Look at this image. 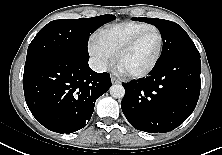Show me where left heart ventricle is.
I'll return each mask as SVG.
<instances>
[{
    "mask_svg": "<svg viewBox=\"0 0 222 155\" xmlns=\"http://www.w3.org/2000/svg\"><path fill=\"white\" fill-rule=\"evenodd\" d=\"M159 35L151 31L143 36L137 44L125 52L118 60L125 72L137 73L147 69L156 58L159 49Z\"/></svg>",
    "mask_w": 222,
    "mask_h": 155,
    "instance_id": "1",
    "label": "left heart ventricle"
}]
</instances>
